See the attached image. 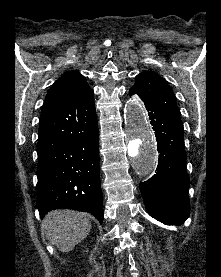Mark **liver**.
<instances>
[{
    "label": "liver",
    "mask_w": 221,
    "mask_h": 277,
    "mask_svg": "<svg viewBox=\"0 0 221 277\" xmlns=\"http://www.w3.org/2000/svg\"><path fill=\"white\" fill-rule=\"evenodd\" d=\"M91 228L89 214L64 209L49 212L41 225L48 241L65 253L85 239Z\"/></svg>",
    "instance_id": "6515ba94"
}]
</instances>
